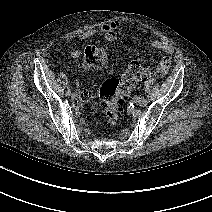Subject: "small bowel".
Instances as JSON below:
<instances>
[{
	"label": "small bowel",
	"instance_id": "small-bowel-1",
	"mask_svg": "<svg viewBox=\"0 0 212 212\" xmlns=\"http://www.w3.org/2000/svg\"><path fill=\"white\" fill-rule=\"evenodd\" d=\"M97 33L103 34L107 41L113 42L123 34V28L121 22L116 20L86 31L85 33L79 36V39H86ZM149 44L151 48L161 50L162 52L168 55L162 58L155 66V71L159 76L166 75L171 66V58L169 57V55H172L174 52L173 45L161 39H152ZM61 54L64 55L65 52L62 51ZM68 55L76 58L80 55V51H72L68 53ZM88 97L89 91L84 90L81 94V98L85 100Z\"/></svg>",
	"mask_w": 212,
	"mask_h": 212
}]
</instances>
